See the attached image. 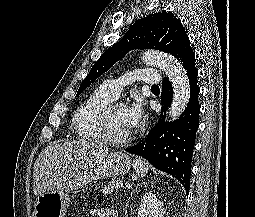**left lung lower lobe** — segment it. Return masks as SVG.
I'll use <instances>...</instances> for the list:
<instances>
[{"label":"left lung lower lobe","mask_w":255,"mask_h":217,"mask_svg":"<svg viewBox=\"0 0 255 217\" xmlns=\"http://www.w3.org/2000/svg\"><path fill=\"white\" fill-rule=\"evenodd\" d=\"M175 58L183 65L189 78L190 99L187 107L179 119L170 123L165 122V113L172 100L173 88L168 78L164 77L161 95L162 117L150 130L145 142L125 150L142 156L155 168L177 178L188 193L192 153L199 125L198 70L194 63L195 54L190 45L183 48Z\"/></svg>","instance_id":"1"}]
</instances>
